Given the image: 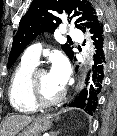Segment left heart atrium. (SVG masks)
<instances>
[{
    "mask_svg": "<svg viewBox=\"0 0 117 136\" xmlns=\"http://www.w3.org/2000/svg\"><path fill=\"white\" fill-rule=\"evenodd\" d=\"M69 64L68 62L62 58L58 57L53 60L52 67L49 71L52 79L60 86L64 87L67 82L69 76Z\"/></svg>",
    "mask_w": 117,
    "mask_h": 136,
    "instance_id": "39dd6f15",
    "label": "left heart atrium"
}]
</instances>
